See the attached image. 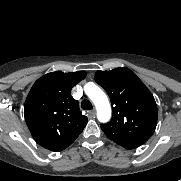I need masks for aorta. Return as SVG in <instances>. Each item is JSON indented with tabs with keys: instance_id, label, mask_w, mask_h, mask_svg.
I'll list each match as a JSON object with an SVG mask.
<instances>
[{
	"instance_id": "obj_1",
	"label": "aorta",
	"mask_w": 181,
	"mask_h": 181,
	"mask_svg": "<svg viewBox=\"0 0 181 181\" xmlns=\"http://www.w3.org/2000/svg\"><path fill=\"white\" fill-rule=\"evenodd\" d=\"M85 92L96 106L98 120L100 122L109 121L111 106L106 94L92 82L85 85Z\"/></svg>"
}]
</instances>
